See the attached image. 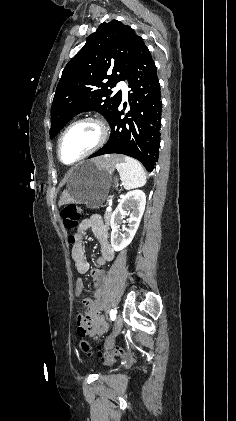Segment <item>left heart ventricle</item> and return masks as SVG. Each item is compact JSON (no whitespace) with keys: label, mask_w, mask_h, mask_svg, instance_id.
Returning <instances> with one entry per match:
<instances>
[{"label":"left heart ventricle","mask_w":236,"mask_h":421,"mask_svg":"<svg viewBox=\"0 0 236 421\" xmlns=\"http://www.w3.org/2000/svg\"><path fill=\"white\" fill-rule=\"evenodd\" d=\"M99 139V129L93 124H81L71 129L65 136L62 149L61 157L62 160L71 164L89 149Z\"/></svg>","instance_id":"b2bd125f"}]
</instances>
